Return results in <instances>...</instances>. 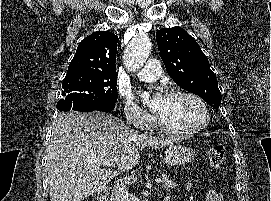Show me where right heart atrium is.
Segmentation results:
<instances>
[{"instance_id": "obj_1", "label": "right heart atrium", "mask_w": 271, "mask_h": 201, "mask_svg": "<svg viewBox=\"0 0 271 201\" xmlns=\"http://www.w3.org/2000/svg\"><path fill=\"white\" fill-rule=\"evenodd\" d=\"M124 114L126 120L140 130H146L153 124V118L129 98L124 100Z\"/></svg>"}]
</instances>
